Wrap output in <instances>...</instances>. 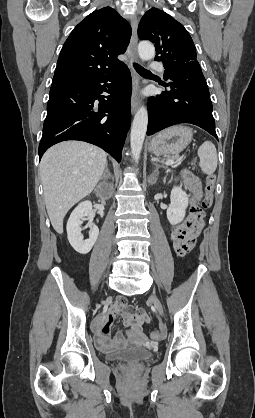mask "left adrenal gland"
I'll return each instance as SVG.
<instances>
[{"instance_id":"1","label":"left adrenal gland","mask_w":255,"mask_h":418,"mask_svg":"<svg viewBox=\"0 0 255 418\" xmlns=\"http://www.w3.org/2000/svg\"><path fill=\"white\" fill-rule=\"evenodd\" d=\"M153 163H154V165L156 166V169H155V171H154V173H153V174H155V173H157V172H158L159 165H158V163H157L156 161H153ZM149 183H150V182H149Z\"/></svg>"}]
</instances>
